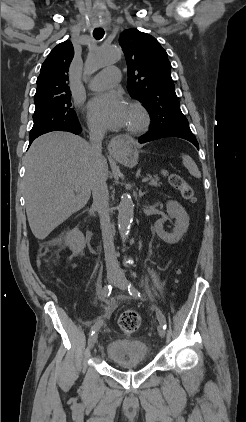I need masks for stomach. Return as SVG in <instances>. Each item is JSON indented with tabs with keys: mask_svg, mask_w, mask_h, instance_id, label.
I'll return each instance as SVG.
<instances>
[{
	"mask_svg": "<svg viewBox=\"0 0 246 422\" xmlns=\"http://www.w3.org/2000/svg\"><path fill=\"white\" fill-rule=\"evenodd\" d=\"M139 150L132 144L127 145L119 154V160L124 165L133 167L138 163Z\"/></svg>",
	"mask_w": 246,
	"mask_h": 422,
	"instance_id": "0dacf381",
	"label": "stomach"
}]
</instances>
